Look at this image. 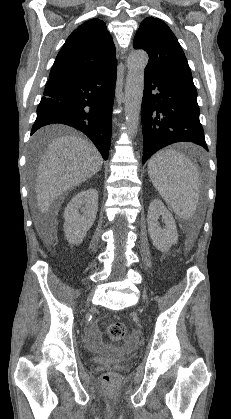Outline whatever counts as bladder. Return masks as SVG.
<instances>
[{
	"label": "bladder",
	"mask_w": 231,
	"mask_h": 419,
	"mask_svg": "<svg viewBox=\"0 0 231 419\" xmlns=\"http://www.w3.org/2000/svg\"><path fill=\"white\" fill-rule=\"evenodd\" d=\"M90 362L95 365H106V364H126L132 359L131 356L127 355H91Z\"/></svg>",
	"instance_id": "1"
}]
</instances>
